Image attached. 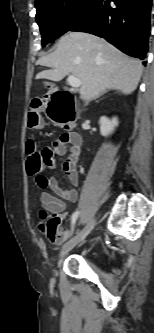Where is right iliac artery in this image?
Listing matches in <instances>:
<instances>
[{"label": "right iliac artery", "instance_id": "82829eb1", "mask_svg": "<svg viewBox=\"0 0 154 333\" xmlns=\"http://www.w3.org/2000/svg\"><path fill=\"white\" fill-rule=\"evenodd\" d=\"M79 215V211H76L73 213L72 218H71V222H72V230L74 229V225L76 223V220L78 218Z\"/></svg>", "mask_w": 154, "mask_h": 333}]
</instances>
